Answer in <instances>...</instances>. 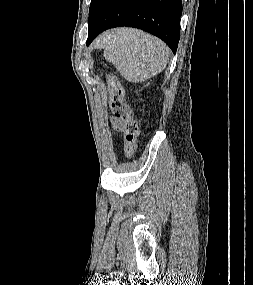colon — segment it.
<instances>
[{"mask_svg":"<svg viewBox=\"0 0 253 285\" xmlns=\"http://www.w3.org/2000/svg\"><path fill=\"white\" fill-rule=\"evenodd\" d=\"M106 79L112 89L111 107L113 114L124 125L125 155L127 158H131L136 150L138 124L131 115L130 106L125 102V92L118 78L109 73L106 75Z\"/></svg>","mask_w":253,"mask_h":285,"instance_id":"obj_1","label":"colon"}]
</instances>
